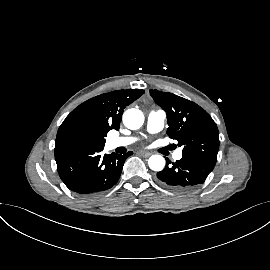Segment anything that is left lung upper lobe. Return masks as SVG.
I'll use <instances>...</instances> for the list:
<instances>
[{
  "label": "left lung upper lobe",
  "mask_w": 270,
  "mask_h": 270,
  "mask_svg": "<svg viewBox=\"0 0 270 270\" xmlns=\"http://www.w3.org/2000/svg\"><path fill=\"white\" fill-rule=\"evenodd\" d=\"M150 95L167 113V134L183 146L182 156L215 166L220 141L211 116L196 103L175 94L150 90Z\"/></svg>",
  "instance_id": "1"
}]
</instances>
